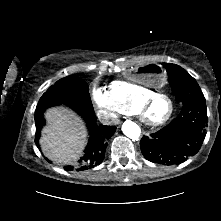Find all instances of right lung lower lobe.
I'll use <instances>...</instances> for the list:
<instances>
[{"instance_id":"1","label":"right lung lower lobe","mask_w":221,"mask_h":221,"mask_svg":"<svg viewBox=\"0 0 221 221\" xmlns=\"http://www.w3.org/2000/svg\"><path fill=\"white\" fill-rule=\"evenodd\" d=\"M79 113L84 117L87 122L90 130V139L85 150V154L83 157H81L79 161L80 164L76 166H65V170H73L77 167L78 170L82 171L99 165L104 159L107 142L116 131V128L113 126H97L93 106H91V108H87L84 112ZM35 123V143L37 146H39L38 139L40 136V129L45 124L42 115L35 116Z\"/></svg>"}]
</instances>
